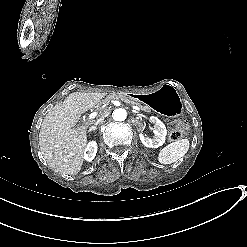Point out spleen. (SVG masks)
Instances as JSON below:
<instances>
[{
	"instance_id": "1",
	"label": "spleen",
	"mask_w": 247,
	"mask_h": 247,
	"mask_svg": "<svg viewBox=\"0 0 247 247\" xmlns=\"http://www.w3.org/2000/svg\"><path fill=\"white\" fill-rule=\"evenodd\" d=\"M189 146L190 143L188 139L176 140L160 150L158 161L165 165L172 164L188 152Z\"/></svg>"
}]
</instances>
